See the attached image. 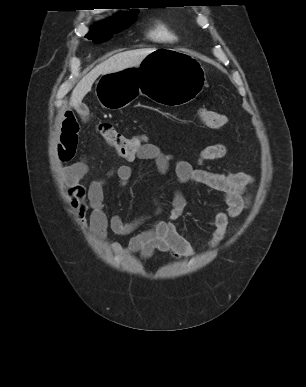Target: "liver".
<instances>
[{
  "mask_svg": "<svg viewBox=\"0 0 306 387\" xmlns=\"http://www.w3.org/2000/svg\"><path fill=\"white\" fill-rule=\"evenodd\" d=\"M155 49H137L120 52L97 65L73 89L70 106L78 109L85 95L91 91L94 81L102 74L119 72L127 68L138 66L143 59Z\"/></svg>",
  "mask_w": 306,
  "mask_h": 387,
  "instance_id": "obj_1",
  "label": "liver"
}]
</instances>
